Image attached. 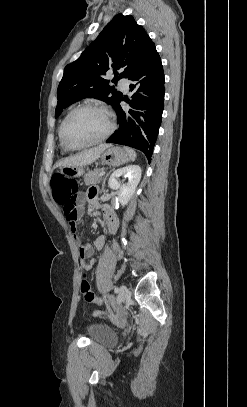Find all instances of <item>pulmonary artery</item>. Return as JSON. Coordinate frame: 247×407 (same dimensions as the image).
I'll return each instance as SVG.
<instances>
[{"instance_id":"pulmonary-artery-1","label":"pulmonary artery","mask_w":247,"mask_h":407,"mask_svg":"<svg viewBox=\"0 0 247 407\" xmlns=\"http://www.w3.org/2000/svg\"><path fill=\"white\" fill-rule=\"evenodd\" d=\"M130 81L126 78H121L119 80V85L123 88L124 91H128Z\"/></svg>"}]
</instances>
